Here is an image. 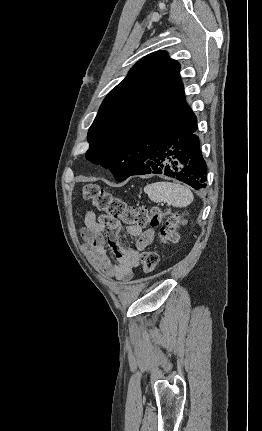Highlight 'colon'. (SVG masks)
I'll use <instances>...</instances> for the list:
<instances>
[{
  "label": "colon",
  "mask_w": 262,
  "mask_h": 431,
  "mask_svg": "<svg viewBox=\"0 0 262 431\" xmlns=\"http://www.w3.org/2000/svg\"><path fill=\"white\" fill-rule=\"evenodd\" d=\"M83 196L100 212L110 218L121 220L127 226H154L162 216H166L165 225L158 235V245L164 247L178 240V228L181 217L177 212L163 213L159 209L133 208L120 198L112 195L97 184L90 183L83 187ZM159 253L156 250L143 251L139 256V266L145 273L153 272L158 265Z\"/></svg>",
  "instance_id": "obj_1"
}]
</instances>
